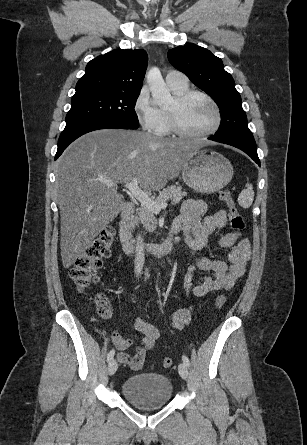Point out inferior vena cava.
<instances>
[{
  "label": "inferior vena cava",
  "instance_id": "obj_1",
  "mask_svg": "<svg viewBox=\"0 0 307 445\" xmlns=\"http://www.w3.org/2000/svg\"><path fill=\"white\" fill-rule=\"evenodd\" d=\"M144 263H145V253L143 247V239L139 235L136 243V255L134 259V265H135L134 273L135 275H137V277L141 275Z\"/></svg>",
  "mask_w": 307,
  "mask_h": 445
}]
</instances>
